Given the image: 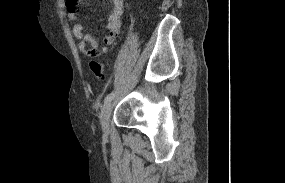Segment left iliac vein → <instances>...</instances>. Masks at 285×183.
Segmentation results:
<instances>
[{
  "label": "left iliac vein",
  "mask_w": 285,
  "mask_h": 183,
  "mask_svg": "<svg viewBox=\"0 0 285 183\" xmlns=\"http://www.w3.org/2000/svg\"><path fill=\"white\" fill-rule=\"evenodd\" d=\"M113 108V102L110 100L102 109L101 111V125H102V130L105 135H108L109 133V121H110V115L112 112Z\"/></svg>",
  "instance_id": "1"
}]
</instances>
